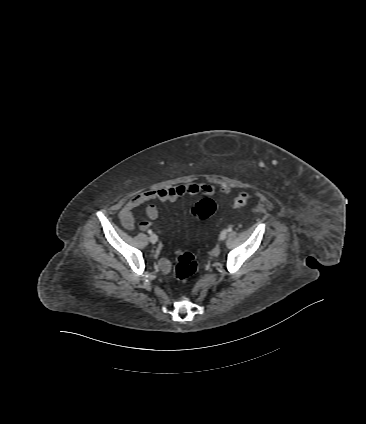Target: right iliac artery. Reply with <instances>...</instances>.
<instances>
[{
  "mask_svg": "<svg viewBox=\"0 0 366 424\" xmlns=\"http://www.w3.org/2000/svg\"><path fill=\"white\" fill-rule=\"evenodd\" d=\"M148 233H149V234H152L153 232H152V230H148Z\"/></svg>",
  "mask_w": 366,
  "mask_h": 424,
  "instance_id": "82829eb1",
  "label": "right iliac artery"
}]
</instances>
